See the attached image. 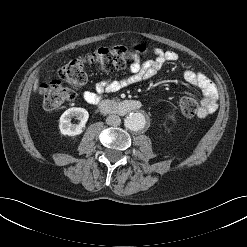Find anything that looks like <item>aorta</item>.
<instances>
[{"instance_id": "762f6f07", "label": "aorta", "mask_w": 247, "mask_h": 247, "mask_svg": "<svg viewBox=\"0 0 247 247\" xmlns=\"http://www.w3.org/2000/svg\"><path fill=\"white\" fill-rule=\"evenodd\" d=\"M125 126L132 131L142 130L146 125V118L142 113H130L125 118Z\"/></svg>"}]
</instances>
